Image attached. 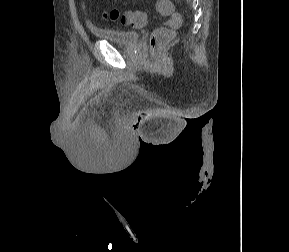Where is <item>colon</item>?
Listing matches in <instances>:
<instances>
[{"mask_svg":"<svg viewBox=\"0 0 289 252\" xmlns=\"http://www.w3.org/2000/svg\"><path fill=\"white\" fill-rule=\"evenodd\" d=\"M156 8L161 15L168 16L170 19L166 25L158 27L151 34L150 49L153 55L172 39L174 34L173 30L181 25V17L175 12L170 0H159ZM104 17L113 21H119L123 26L130 27H139L143 25L147 19L144 12H127L120 14L118 10L107 12Z\"/></svg>","mask_w":289,"mask_h":252,"instance_id":"obj_1","label":"colon"}]
</instances>
